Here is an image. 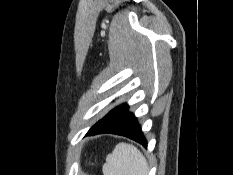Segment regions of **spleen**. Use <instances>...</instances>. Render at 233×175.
Here are the masks:
<instances>
[{
	"mask_svg": "<svg viewBox=\"0 0 233 175\" xmlns=\"http://www.w3.org/2000/svg\"><path fill=\"white\" fill-rule=\"evenodd\" d=\"M148 164L141 152L133 145L121 142L103 165L104 175H147Z\"/></svg>",
	"mask_w": 233,
	"mask_h": 175,
	"instance_id": "1",
	"label": "spleen"
}]
</instances>
